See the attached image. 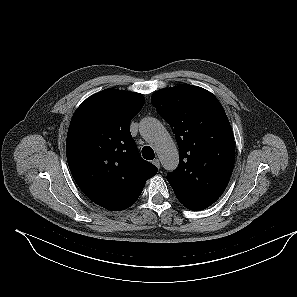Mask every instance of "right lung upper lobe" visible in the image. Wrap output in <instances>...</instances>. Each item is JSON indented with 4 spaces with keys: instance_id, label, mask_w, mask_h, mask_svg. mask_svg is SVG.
Here are the masks:
<instances>
[{
    "instance_id": "right-lung-upper-lobe-1",
    "label": "right lung upper lobe",
    "mask_w": 297,
    "mask_h": 297,
    "mask_svg": "<svg viewBox=\"0 0 297 297\" xmlns=\"http://www.w3.org/2000/svg\"><path fill=\"white\" fill-rule=\"evenodd\" d=\"M143 105L142 94L109 88L87 98L70 122L66 154L72 176L90 200L108 210L133 205L158 171L141 158L129 130Z\"/></svg>"
}]
</instances>
